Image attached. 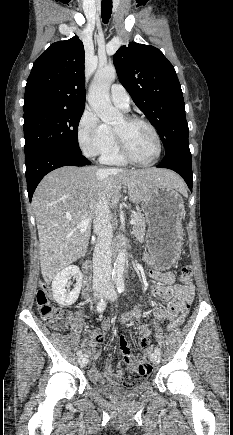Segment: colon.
Here are the masks:
<instances>
[{"label": "colon", "instance_id": "colon-1", "mask_svg": "<svg viewBox=\"0 0 233 435\" xmlns=\"http://www.w3.org/2000/svg\"><path fill=\"white\" fill-rule=\"evenodd\" d=\"M180 281L185 286H190L192 283V267L190 265L184 266L181 270ZM36 304L42 319L53 330H64L71 320V313L62 308L55 307L50 301V288L45 283H40L36 293ZM190 304L185 303L181 309V313L178 318L174 320V323L179 324L185 319L189 313ZM144 371H151V366L146 363H141L138 366V374ZM136 380H128L125 382L126 386H132L136 384Z\"/></svg>", "mask_w": 233, "mask_h": 435}]
</instances>
